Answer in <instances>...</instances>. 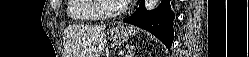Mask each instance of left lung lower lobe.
Listing matches in <instances>:
<instances>
[{
    "mask_svg": "<svg viewBox=\"0 0 249 57\" xmlns=\"http://www.w3.org/2000/svg\"><path fill=\"white\" fill-rule=\"evenodd\" d=\"M175 15L170 9V0H162L160 5L151 11H146L144 0H141L139 8L123 22L133 24L143 28L158 39H160L167 48H170L173 42V19Z\"/></svg>",
    "mask_w": 249,
    "mask_h": 57,
    "instance_id": "1",
    "label": "left lung lower lobe"
}]
</instances>
